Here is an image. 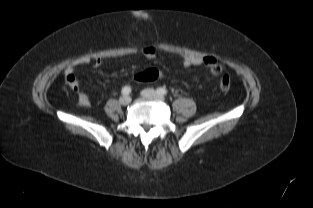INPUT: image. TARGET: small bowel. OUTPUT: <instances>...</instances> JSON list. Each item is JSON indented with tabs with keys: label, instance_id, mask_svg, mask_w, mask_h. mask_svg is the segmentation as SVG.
Returning <instances> with one entry per match:
<instances>
[{
	"label": "small bowel",
	"instance_id": "obj_1",
	"mask_svg": "<svg viewBox=\"0 0 313 208\" xmlns=\"http://www.w3.org/2000/svg\"><path fill=\"white\" fill-rule=\"evenodd\" d=\"M142 54L147 59H153L156 56V49L153 46H146L142 49ZM90 63L94 67H98V66L103 64V59L100 57L99 58H91L89 56H82V57L74 60L67 67V69H66L67 76L73 75L75 67H77L79 65L90 64ZM182 63L186 67L198 65V64H204L210 68L213 64L217 63V60L213 56H204V57L184 56L182 58ZM72 89L77 91L78 90L77 85ZM77 101H78V104L82 107H89L90 106V100H89L88 96L83 92H78Z\"/></svg>",
	"mask_w": 313,
	"mask_h": 208
}]
</instances>
